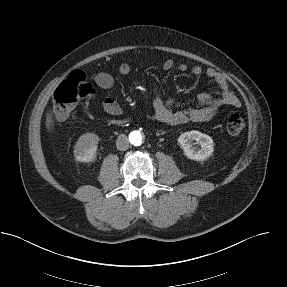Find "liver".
Returning a JSON list of instances; mask_svg holds the SVG:
<instances>
[{
  "instance_id": "6515ba94",
  "label": "liver",
  "mask_w": 287,
  "mask_h": 287,
  "mask_svg": "<svg viewBox=\"0 0 287 287\" xmlns=\"http://www.w3.org/2000/svg\"><path fill=\"white\" fill-rule=\"evenodd\" d=\"M46 126L47 128L49 129L51 126H53V120H52V116L51 114H47V117H46Z\"/></svg>"
}]
</instances>
